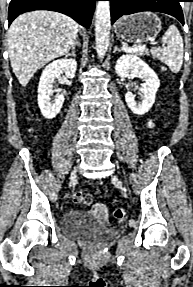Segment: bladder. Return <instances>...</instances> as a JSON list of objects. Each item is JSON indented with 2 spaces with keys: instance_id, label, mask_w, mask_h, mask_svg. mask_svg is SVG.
<instances>
[{
  "instance_id": "31cf9c89",
  "label": "bladder",
  "mask_w": 193,
  "mask_h": 287,
  "mask_svg": "<svg viewBox=\"0 0 193 287\" xmlns=\"http://www.w3.org/2000/svg\"><path fill=\"white\" fill-rule=\"evenodd\" d=\"M61 232L79 240H102L117 232V228L105 221H99L96 215H86L82 210H69L63 214Z\"/></svg>"
}]
</instances>
